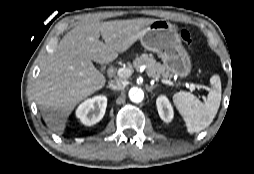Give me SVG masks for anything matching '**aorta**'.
Instances as JSON below:
<instances>
[{"mask_svg": "<svg viewBox=\"0 0 254 174\" xmlns=\"http://www.w3.org/2000/svg\"><path fill=\"white\" fill-rule=\"evenodd\" d=\"M129 99L134 103H140L144 99V92L142 89L133 87L128 93Z\"/></svg>", "mask_w": 254, "mask_h": 174, "instance_id": "1", "label": "aorta"}]
</instances>
